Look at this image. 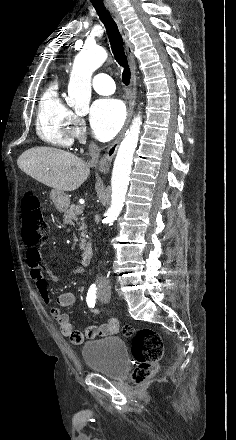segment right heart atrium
Listing matches in <instances>:
<instances>
[{"instance_id":"1","label":"right heart atrium","mask_w":236,"mask_h":440,"mask_svg":"<svg viewBox=\"0 0 236 440\" xmlns=\"http://www.w3.org/2000/svg\"><path fill=\"white\" fill-rule=\"evenodd\" d=\"M73 134L79 141H84L87 136V128L84 119L74 116L73 119Z\"/></svg>"}]
</instances>
